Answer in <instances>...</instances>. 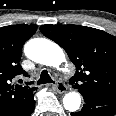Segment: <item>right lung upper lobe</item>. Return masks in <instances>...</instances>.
I'll list each match as a JSON object with an SVG mask.
<instances>
[{"label": "right lung upper lobe", "instance_id": "obj_1", "mask_svg": "<svg viewBox=\"0 0 116 116\" xmlns=\"http://www.w3.org/2000/svg\"><path fill=\"white\" fill-rule=\"evenodd\" d=\"M36 29L26 24L0 28V116H18L34 100V87L12 82L19 75L28 76L19 62L24 43Z\"/></svg>", "mask_w": 116, "mask_h": 116}]
</instances>
